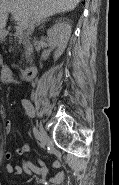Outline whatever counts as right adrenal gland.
I'll return each mask as SVG.
<instances>
[{
	"label": "right adrenal gland",
	"mask_w": 119,
	"mask_h": 185,
	"mask_svg": "<svg viewBox=\"0 0 119 185\" xmlns=\"http://www.w3.org/2000/svg\"><path fill=\"white\" fill-rule=\"evenodd\" d=\"M47 21V19H45V20H43V22L45 23ZM43 27V25L40 27V28H42Z\"/></svg>",
	"instance_id": "1"
}]
</instances>
